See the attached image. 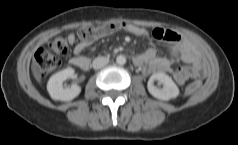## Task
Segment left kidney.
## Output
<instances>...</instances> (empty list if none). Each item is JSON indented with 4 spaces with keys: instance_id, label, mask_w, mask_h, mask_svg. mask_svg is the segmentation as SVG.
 Listing matches in <instances>:
<instances>
[{
    "instance_id": "obj_1",
    "label": "left kidney",
    "mask_w": 238,
    "mask_h": 145,
    "mask_svg": "<svg viewBox=\"0 0 238 145\" xmlns=\"http://www.w3.org/2000/svg\"><path fill=\"white\" fill-rule=\"evenodd\" d=\"M154 81H158L159 84H163L162 88H158L154 85ZM147 88L149 93L161 100H170L176 98L179 95V88L174 83L171 77L164 73H155L148 80Z\"/></svg>"
}]
</instances>
